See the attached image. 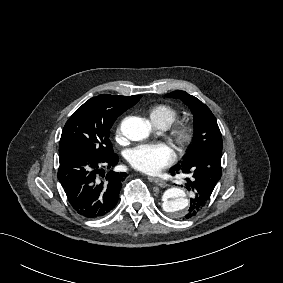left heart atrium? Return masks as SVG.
<instances>
[{"mask_svg": "<svg viewBox=\"0 0 283 283\" xmlns=\"http://www.w3.org/2000/svg\"><path fill=\"white\" fill-rule=\"evenodd\" d=\"M176 159L175 151L166 143L143 144L128 154L130 165L147 175H156Z\"/></svg>", "mask_w": 283, "mask_h": 283, "instance_id": "left-heart-atrium-1", "label": "left heart atrium"}]
</instances>
